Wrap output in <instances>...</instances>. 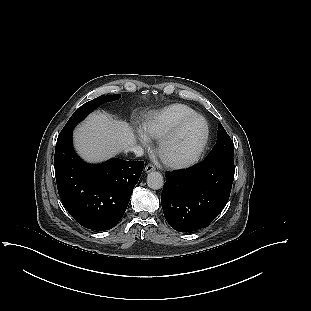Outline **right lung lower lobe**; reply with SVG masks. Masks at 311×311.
Listing matches in <instances>:
<instances>
[{"label": "right lung lower lobe", "instance_id": "1", "mask_svg": "<svg viewBox=\"0 0 311 311\" xmlns=\"http://www.w3.org/2000/svg\"><path fill=\"white\" fill-rule=\"evenodd\" d=\"M54 167L59 196L83 227L103 231L122 218L144 162L113 158L100 165L83 162L73 151L72 133L57 140Z\"/></svg>", "mask_w": 311, "mask_h": 311}]
</instances>
